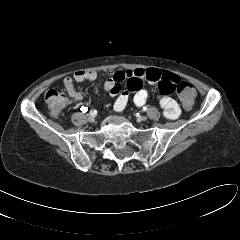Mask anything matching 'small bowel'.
Masks as SVG:
<instances>
[{
    "instance_id": "obj_1",
    "label": "small bowel",
    "mask_w": 240,
    "mask_h": 240,
    "mask_svg": "<svg viewBox=\"0 0 240 240\" xmlns=\"http://www.w3.org/2000/svg\"><path fill=\"white\" fill-rule=\"evenodd\" d=\"M97 78L98 74L93 70H80L72 76H65L63 85L71 100L79 102L83 99V95L75 89L74 82H93ZM180 81L177 75L156 68L119 70L105 81L104 90L116 97L113 108L116 112H121L125 109L131 93H133V102L136 106L140 107L145 104L148 92L143 88L144 82L156 85L163 115L168 119H176L180 115V107L170 94Z\"/></svg>"
}]
</instances>
